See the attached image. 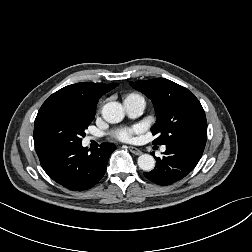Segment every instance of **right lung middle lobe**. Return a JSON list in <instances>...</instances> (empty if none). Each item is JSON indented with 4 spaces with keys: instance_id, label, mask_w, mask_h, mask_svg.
I'll use <instances>...</instances> for the list:
<instances>
[{
    "instance_id": "1",
    "label": "right lung middle lobe",
    "mask_w": 252,
    "mask_h": 252,
    "mask_svg": "<svg viewBox=\"0 0 252 252\" xmlns=\"http://www.w3.org/2000/svg\"><path fill=\"white\" fill-rule=\"evenodd\" d=\"M94 114L62 105L39 110L34 124V145L81 143Z\"/></svg>"
}]
</instances>
